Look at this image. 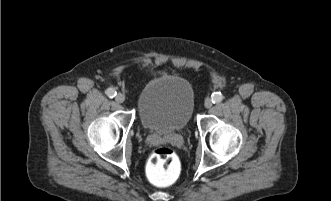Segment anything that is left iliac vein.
Listing matches in <instances>:
<instances>
[{
  "label": "left iliac vein",
  "mask_w": 331,
  "mask_h": 201,
  "mask_svg": "<svg viewBox=\"0 0 331 201\" xmlns=\"http://www.w3.org/2000/svg\"><path fill=\"white\" fill-rule=\"evenodd\" d=\"M204 105H205L206 108H211L212 105H213V102H212V100H211L210 98H207V99L205 100Z\"/></svg>",
  "instance_id": "1"
}]
</instances>
